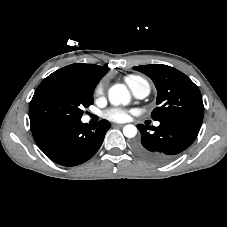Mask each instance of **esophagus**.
I'll return each mask as SVG.
<instances>
[{
  "mask_svg": "<svg viewBox=\"0 0 227 227\" xmlns=\"http://www.w3.org/2000/svg\"><path fill=\"white\" fill-rule=\"evenodd\" d=\"M114 126H116V127H123L124 125L123 124H115Z\"/></svg>",
  "mask_w": 227,
  "mask_h": 227,
  "instance_id": "34e87169",
  "label": "esophagus"
}]
</instances>
